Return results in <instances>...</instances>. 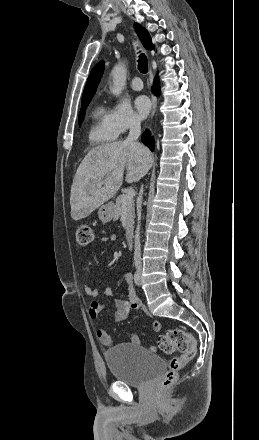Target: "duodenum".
<instances>
[{
  "instance_id": "1",
  "label": "duodenum",
  "mask_w": 259,
  "mask_h": 440,
  "mask_svg": "<svg viewBox=\"0 0 259 440\" xmlns=\"http://www.w3.org/2000/svg\"><path fill=\"white\" fill-rule=\"evenodd\" d=\"M126 242L128 246H132L133 244V232L132 231H128L127 235H126Z\"/></svg>"
}]
</instances>
